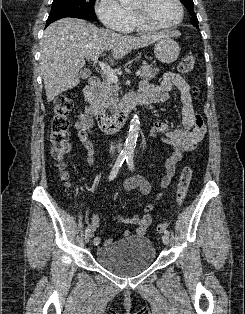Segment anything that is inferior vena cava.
Masks as SVG:
<instances>
[{
  "mask_svg": "<svg viewBox=\"0 0 245 314\" xmlns=\"http://www.w3.org/2000/svg\"><path fill=\"white\" fill-rule=\"evenodd\" d=\"M114 150H115V146L111 144V146H110V153L113 154V153H114Z\"/></svg>",
  "mask_w": 245,
  "mask_h": 314,
  "instance_id": "602c4592",
  "label": "inferior vena cava"
}]
</instances>
